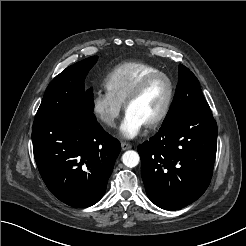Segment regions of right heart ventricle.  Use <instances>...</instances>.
<instances>
[{
    "mask_svg": "<svg viewBox=\"0 0 246 246\" xmlns=\"http://www.w3.org/2000/svg\"><path fill=\"white\" fill-rule=\"evenodd\" d=\"M160 71L144 62H124L115 66L105 77L107 92L121 104L139 81L145 76Z\"/></svg>",
    "mask_w": 246,
    "mask_h": 246,
    "instance_id": "obj_1",
    "label": "right heart ventricle"
}]
</instances>
